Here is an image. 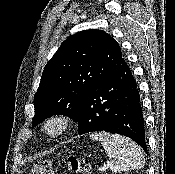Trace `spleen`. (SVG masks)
I'll return each instance as SVG.
<instances>
[{"label": "spleen", "mask_w": 175, "mask_h": 174, "mask_svg": "<svg viewBox=\"0 0 175 174\" xmlns=\"http://www.w3.org/2000/svg\"><path fill=\"white\" fill-rule=\"evenodd\" d=\"M90 138L101 142L110 160V169L113 172L138 170L145 164L140 148L126 137L100 132L92 133Z\"/></svg>", "instance_id": "1"}]
</instances>
